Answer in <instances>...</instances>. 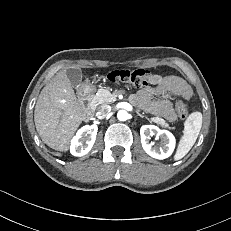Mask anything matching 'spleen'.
<instances>
[{
	"label": "spleen",
	"instance_id": "1",
	"mask_svg": "<svg viewBox=\"0 0 231 231\" xmlns=\"http://www.w3.org/2000/svg\"><path fill=\"white\" fill-rule=\"evenodd\" d=\"M202 126L201 112L191 113L184 123L183 135L180 139L178 149L176 151L175 160L183 158L193 147L199 135Z\"/></svg>",
	"mask_w": 231,
	"mask_h": 231
}]
</instances>
